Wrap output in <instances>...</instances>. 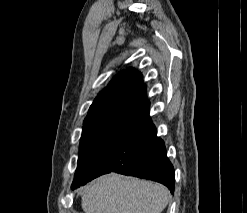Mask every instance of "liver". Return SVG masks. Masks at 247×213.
<instances>
[{"mask_svg":"<svg viewBox=\"0 0 247 213\" xmlns=\"http://www.w3.org/2000/svg\"><path fill=\"white\" fill-rule=\"evenodd\" d=\"M169 198L163 185L111 173L85 188L81 204L84 213H161Z\"/></svg>","mask_w":247,"mask_h":213,"instance_id":"6515ba94","label":"liver"}]
</instances>
